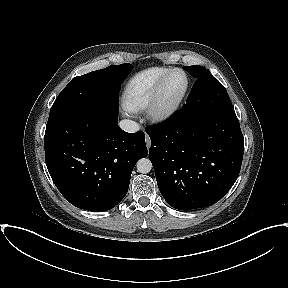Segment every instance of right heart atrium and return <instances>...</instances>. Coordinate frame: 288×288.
Segmentation results:
<instances>
[{"label":"right heart atrium","mask_w":288,"mask_h":288,"mask_svg":"<svg viewBox=\"0 0 288 288\" xmlns=\"http://www.w3.org/2000/svg\"><path fill=\"white\" fill-rule=\"evenodd\" d=\"M123 108H124L125 113L127 114L129 112L128 109L125 106Z\"/></svg>","instance_id":"1"}]
</instances>
